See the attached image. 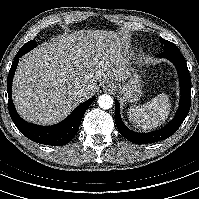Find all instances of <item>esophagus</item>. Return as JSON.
Wrapping results in <instances>:
<instances>
[{
	"label": "esophagus",
	"mask_w": 199,
	"mask_h": 199,
	"mask_svg": "<svg viewBox=\"0 0 199 199\" xmlns=\"http://www.w3.org/2000/svg\"><path fill=\"white\" fill-rule=\"evenodd\" d=\"M108 86H109L110 88H114V87H115L113 83H109Z\"/></svg>",
	"instance_id": "obj_1"
}]
</instances>
